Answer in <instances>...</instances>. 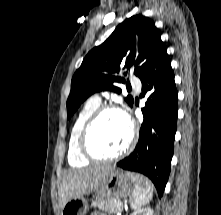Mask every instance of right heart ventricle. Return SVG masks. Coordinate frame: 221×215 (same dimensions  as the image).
<instances>
[{"label":"right heart ventricle","instance_id":"right-heart-ventricle-1","mask_svg":"<svg viewBox=\"0 0 221 215\" xmlns=\"http://www.w3.org/2000/svg\"><path fill=\"white\" fill-rule=\"evenodd\" d=\"M99 106H100V100L94 97L88 99L84 103L80 111L78 112L73 122L68 140V152H67V160L70 166L72 167H83L89 163V160L84 158L79 151L78 137L85 121L92 114V112Z\"/></svg>","mask_w":221,"mask_h":215}]
</instances>
